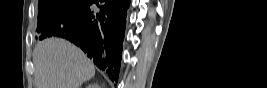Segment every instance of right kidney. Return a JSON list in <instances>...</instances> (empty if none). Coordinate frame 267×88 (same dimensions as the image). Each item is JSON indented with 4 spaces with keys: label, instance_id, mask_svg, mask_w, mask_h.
Segmentation results:
<instances>
[{
    "label": "right kidney",
    "instance_id": "right-kidney-1",
    "mask_svg": "<svg viewBox=\"0 0 267 88\" xmlns=\"http://www.w3.org/2000/svg\"><path fill=\"white\" fill-rule=\"evenodd\" d=\"M87 88H100V86L97 83H92L88 85Z\"/></svg>",
    "mask_w": 267,
    "mask_h": 88
}]
</instances>
